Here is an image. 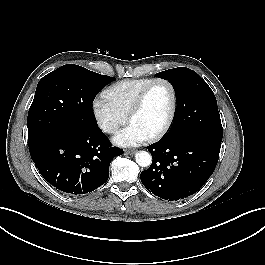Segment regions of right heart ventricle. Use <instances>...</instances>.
I'll list each match as a JSON object with an SVG mask.
<instances>
[{"label":"right heart ventricle","instance_id":"right-heart-ventricle-1","mask_svg":"<svg viewBox=\"0 0 265 265\" xmlns=\"http://www.w3.org/2000/svg\"><path fill=\"white\" fill-rule=\"evenodd\" d=\"M152 78L127 79L114 83L103 93L104 99L127 117L140 91Z\"/></svg>","mask_w":265,"mask_h":265}]
</instances>
